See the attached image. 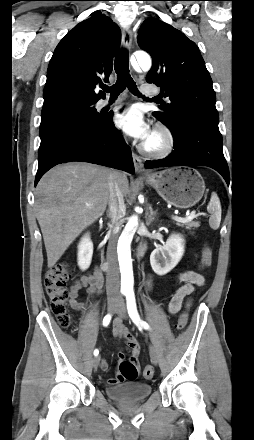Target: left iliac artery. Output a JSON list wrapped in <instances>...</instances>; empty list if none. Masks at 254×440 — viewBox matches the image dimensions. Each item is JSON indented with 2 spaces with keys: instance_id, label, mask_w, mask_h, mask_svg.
I'll use <instances>...</instances> for the list:
<instances>
[{
  "instance_id": "obj_1",
  "label": "left iliac artery",
  "mask_w": 254,
  "mask_h": 440,
  "mask_svg": "<svg viewBox=\"0 0 254 440\" xmlns=\"http://www.w3.org/2000/svg\"><path fill=\"white\" fill-rule=\"evenodd\" d=\"M127 310L130 318L139 328L149 329L150 326L145 321L141 320L136 306L134 292L130 291L126 293Z\"/></svg>"
}]
</instances>
